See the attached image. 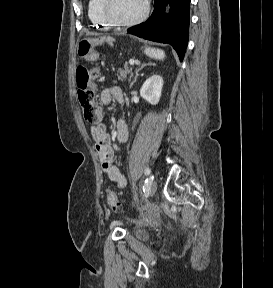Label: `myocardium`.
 <instances>
[{"label": "myocardium", "mask_w": 273, "mask_h": 288, "mask_svg": "<svg viewBox=\"0 0 273 288\" xmlns=\"http://www.w3.org/2000/svg\"><path fill=\"white\" fill-rule=\"evenodd\" d=\"M111 0H101V5H100V12L102 18L108 23L110 26L114 27H131L134 25H137L141 22H143L148 14H149V3L147 0H144V10L143 12L136 17L135 19L128 20V21H120L115 19L109 12V6H110Z\"/></svg>", "instance_id": "1"}]
</instances>
